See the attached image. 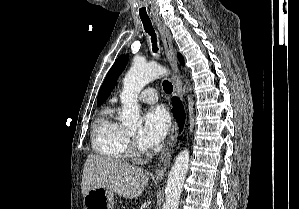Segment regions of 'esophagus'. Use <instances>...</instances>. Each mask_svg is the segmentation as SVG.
Instances as JSON below:
<instances>
[{
  "mask_svg": "<svg viewBox=\"0 0 299 209\" xmlns=\"http://www.w3.org/2000/svg\"><path fill=\"white\" fill-rule=\"evenodd\" d=\"M154 21L157 25L158 31L161 36V40L164 47V53L165 56L172 68L173 75H172V84L174 88V95L182 99L183 97V91L181 86V81L178 77V63L175 55V49L173 46V41L170 35L169 30L167 27L162 23L160 18L155 17ZM177 143V124L176 121L173 122V126L171 128V131L169 133L166 146L163 148L158 165L155 169L154 177L157 180H162L169 165L171 162L172 154L174 151V147Z\"/></svg>",
  "mask_w": 299,
  "mask_h": 209,
  "instance_id": "esophagus-1",
  "label": "esophagus"
}]
</instances>
